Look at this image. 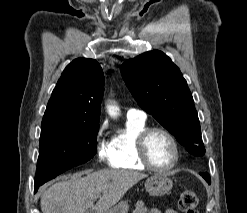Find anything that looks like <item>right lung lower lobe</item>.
Returning a JSON list of instances; mask_svg holds the SVG:
<instances>
[{"instance_id":"1","label":"right lung lower lobe","mask_w":247,"mask_h":213,"mask_svg":"<svg viewBox=\"0 0 247 213\" xmlns=\"http://www.w3.org/2000/svg\"><path fill=\"white\" fill-rule=\"evenodd\" d=\"M35 188V192L38 190L39 187H34Z\"/></svg>"}]
</instances>
